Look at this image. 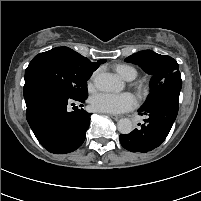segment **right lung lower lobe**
<instances>
[{
    "instance_id": "1",
    "label": "right lung lower lobe",
    "mask_w": 201,
    "mask_h": 201,
    "mask_svg": "<svg viewBox=\"0 0 201 201\" xmlns=\"http://www.w3.org/2000/svg\"><path fill=\"white\" fill-rule=\"evenodd\" d=\"M23 92L27 121L45 149L64 154L82 145L91 114L83 109L67 111V105L78 100L72 99L57 85L40 78L26 80Z\"/></svg>"
}]
</instances>
